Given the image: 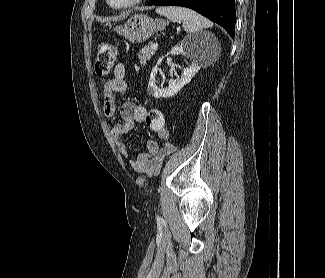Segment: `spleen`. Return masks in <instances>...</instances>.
Here are the masks:
<instances>
[{"label":"spleen","instance_id":"spleen-1","mask_svg":"<svg viewBox=\"0 0 325 278\" xmlns=\"http://www.w3.org/2000/svg\"><path fill=\"white\" fill-rule=\"evenodd\" d=\"M156 13L167 17L173 22H182L184 30L189 34L212 26L211 21L188 8L177 6L158 7Z\"/></svg>","mask_w":325,"mask_h":278}]
</instances>
